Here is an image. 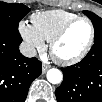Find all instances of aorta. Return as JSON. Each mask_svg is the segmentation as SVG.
<instances>
[{
	"mask_svg": "<svg viewBox=\"0 0 102 102\" xmlns=\"http://www.w3.org/2000/svg\"><path fill=\"white\" fill-rule=\"evenodd\" d=\"M46 77L47 80L52 84H59L63 79L62 72L56 68L49 69L47 71Z\"/></svg>",
	"mask_w": 102,
	"mask_h": 102,
	"instance_id": "aorta-1",
	"label": "aorta"
}]
</instances>
